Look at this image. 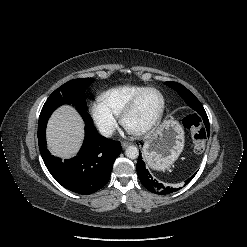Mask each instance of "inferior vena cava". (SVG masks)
Masks as SVG:
<instances>
[{
    "label": "inferior vena cava",
    "instance_id": "obj_1",
    "mask_svg": "<svg viewBox=\"0 0 247 247\" xmlns=\"http://www.w3.org/2000/svg\"><path fill=\"white\" fill-rule=\"evenodd\" d=\"M99 131L101 135L105 137H110L114 133L115 128L112 125H103L99 127Z\"/></svg>",
    "mask_w": 247,
    "mask_h": 247
}]
</instances>
